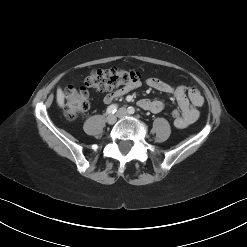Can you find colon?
<instances>
[{
  "label": "colon",
  "mask_w": 247,
  "mask_h": 247,
  "mask_svg": "<svg viewBox=\"0 0 247 247\" xmlns=\"http://www.w3.org/2000/svg\"><path fill=\"white\" fill-rule=\"evenodd\" d=\"M139 80L135 71L121 68L98 69L91 72L79 88L67 86L64 89V115L68 120H75L89 109L88 88L96 91H110L125 87ZM171 116L176 121L180 118L179 110H173Z\"/></svg>",
  "instance_id": "obj_1"
}]
</instances>
